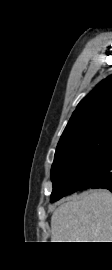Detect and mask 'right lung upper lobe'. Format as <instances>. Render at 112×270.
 Masks as SVG:
<instances>
[{
  "instance_id": "right-lung-upper-lobe-1",
  "label": "right lung upper lobe",
  "mask_w": 112,
  "mask_h": 270,
  "mask_svg": "<svg viewBox=\"0 0 112 270\" xmlns=\"http://www.w3.org/2000/svg\"><path fill=\"white\" fill-rule=\"evenodd\" d=\"M107 122H112V75L101 81L78 104L59 143Z\"/></svg>"
}]
</instances>
